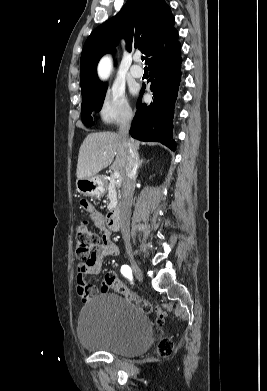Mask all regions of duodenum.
<instances>
[{"label":"duodenum","mask_w":267,"mask_h":391,"mask_svg":"<svg viewBox=\"0 0 267 391\" xmlns=\"http://www.w3.org/2000/svg\"><path fill=\"white\" fill-rule=\"evenodd\" d=\"M120 224V210L118 208L112 209L106 216L105 225L110 232H116Z\"/></svg>","instance_id":"obj_1"}]
</instances>
